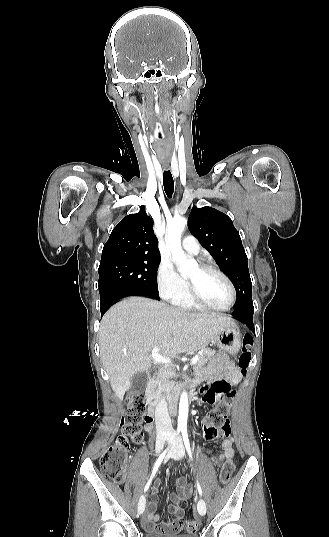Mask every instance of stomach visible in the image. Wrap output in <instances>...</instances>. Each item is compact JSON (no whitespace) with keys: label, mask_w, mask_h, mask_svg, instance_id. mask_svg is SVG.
I'll use <instances>...</instances> for the list:
<instances>
[{"label":"stomach","mask_w":329,"mask_h":537,"mask_svg":"<svg viewBox=\"0 0 329 537\" xmlns=\"http://www.w3.org/2000/svg\"><path fill=\"white\" fill-rule=\"evenodd\" d=\"M215 343L231 355L236 354L241 346V335L238 327L234 324L222 330L214 339Z\"/></svg>","instance_id":"stomach-1"}]
</instances>
